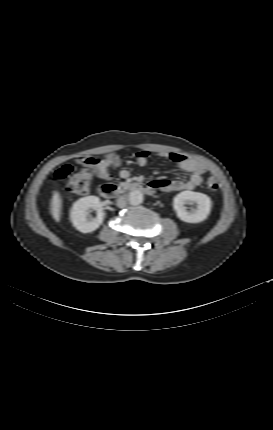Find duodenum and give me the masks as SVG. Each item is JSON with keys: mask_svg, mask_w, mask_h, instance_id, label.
Instances as JSON below:
<instances>
[{"mask_svg": "<svg viewBox=\"0 0 273 430\" xmlns=\"http://www.w3.org/2000/svg\"><path fill=\"white\" fill-rule=\"evenodd\" d=\"M124 190L140 191L146 194H152L154 192V186L152 183H131L123 188H119L113 183H107L100 187L99 193L106 199L117 197Z\"/></svg>", "mask_w": 273, "mask_h": 430, "instance_id": "duodenum-1", "label": "duodenum"}]
</instances>
